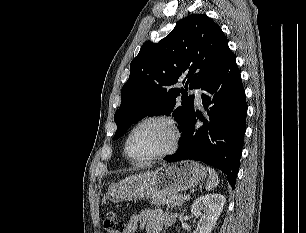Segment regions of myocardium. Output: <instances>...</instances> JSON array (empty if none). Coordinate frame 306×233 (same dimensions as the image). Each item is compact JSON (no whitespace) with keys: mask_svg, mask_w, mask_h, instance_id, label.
<instances>
[{"mask_svg":"<svg viewBox=\"0 0 306 233\" xmlns=\"http://www.w3.org/2000/svg\"><path fill=\"white\" fill-rule=\"evenodd\" d=\"M155 121H160V122H164L166 123L172 133V143L170 145V147L160 153L154 154V155H150L144 158H134L131 156V154L129 153V141L133 135V133L141 126H143L144 124L150 123V122H155ZM180 139H181V131L180 128L178 126L177 121L169 115L166 114H156V115H152V116H148L144 119H142L141 121H139L128 133L126 139H125V143H124V154L125 156L132 162L135 163H143V162H148V161H152L155 159H160V158H164L167 157L169 155H172L173 153H175L179 147L180 144Z\"/></svg>","mask_w":306,"mask_h":233,"instance_id":"obj_1","label":"myocardium"}]
</instances>
